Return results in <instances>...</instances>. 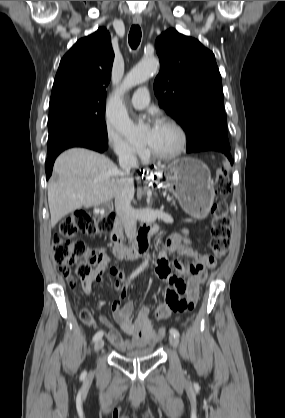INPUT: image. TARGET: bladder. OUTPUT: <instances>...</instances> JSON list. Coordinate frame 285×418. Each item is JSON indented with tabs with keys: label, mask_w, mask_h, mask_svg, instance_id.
<instances>
[{
	"label": "bladder",
	"mask_w": 285,
	"mask_h": 418,
	"mask_svg": "<svg viewBox=\"0 0 285 418\" xmlns=\"http://www.w3.org/2000/svg\"><path fill=\"white\" fill-rule=\"evenodd\" d=\"M152 350H153L152 347H144V348L133 347L130 350L126 351V353H124L123 356L130 357V358L145 357V356L151 355Z\"/></svg>",
	"instance_id": "bladder-1"
}]
</instances>
